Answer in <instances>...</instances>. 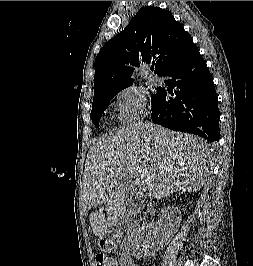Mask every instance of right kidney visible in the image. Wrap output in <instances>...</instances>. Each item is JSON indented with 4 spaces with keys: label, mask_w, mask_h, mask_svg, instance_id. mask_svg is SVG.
Segmentation results:
<instances>
[{
    "label": "right kidney",
    "mask_w": 253,
    "mask_h": 266,
    "mask_svg": "<svg viewBox=\"0 0 253 266\" xmlns=\"http://www.w3.org/2000/svg\"><path fill=\"white\" fill-rule=\"evenodd\" d=\"M172 235V234H171ZM170 234H158L152 224L142 225L129 235L131 241V252L136 257H149L155 255L167 244Z\"/></svg>",
    "instance_id": "1"
}]
</instances>
